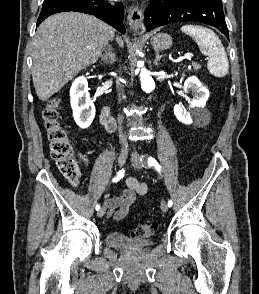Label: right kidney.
<instances>
[{
    "label": "right kidney",
    "mask_w": 259,
    "mask_h": 294,
    "mask_svg": "<svg viewBox=\"0 0 259 294\" xmlns=\"http://www.w3.org/2000/svg\"><path fill=\"white\" fill-rule=\"evenodd\" d=\"M88 90V82L84 76L76 78L70 89L73 117L82 129L88 128L95 117V106Z\"/></svg>",
    "instance_id": "ca27d5eb"
}]
</instances>
